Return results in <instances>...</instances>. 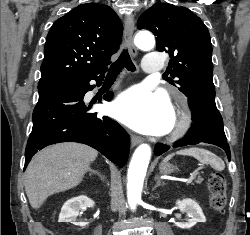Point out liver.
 <instances>
[{"label": "liver", "instance_id": "obj_1", "mask_svg": "<svg viewBox=\"0 0 250 235\" xmlns=\"http://www.w3.org/2000/svg\"><path fill=\"white\" fill-rule=\"evenodd\" d=\"M97 156L96 150L79 143H60L38 152L25 172V191L32 208L39 209L52 194L80 184Z\"/></svg>", "mask_w": 250, "mask_h": 235}]
</instances>
